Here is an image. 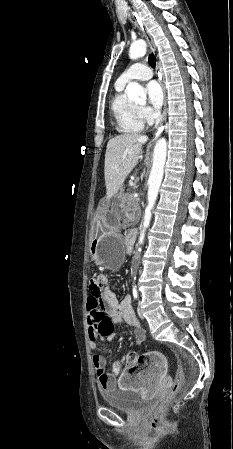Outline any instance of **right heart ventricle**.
I'll use <instances>...</instances> for the list:
<instances>
[{"label": "right heart ventricle", "mask_w": 233, "mask_h": 449, "mask_svg": "<svg viewBox=\"0 0 233 449\" xmlns=\"http://www.w3.org/2000/svg\"><path fill=\"white\" fill-rule=\"evenodd\" d=\"M125 84H115V93L111 101V112L115 120V127L122 134H136L143 131L145 120L139 107L132 103L125 95Z\"/></svg>", "instance_id": "1"}]
</instances>
